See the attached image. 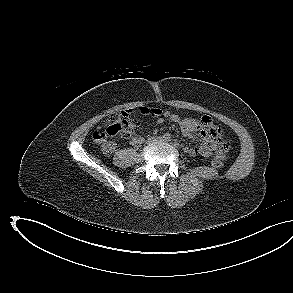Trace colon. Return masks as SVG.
I'll use <instances>...</instances> for the list:
<instances>
[{"instance_id":"1","label":"colon","mask_w":293,"mask_h":293,"mask_svg":"<svg viewBox=\"0 0 293 293\" xmlns=\"http://www.w3.org/2000/svg\"><path fill=\"white\" fill-rule=\"evenodd\" d=\"M137 127L138 122L135 119L127 113L121 112L110 116L105 128L95 131L93 137L96 141H104L116 135L128 137L136 131ZM212 165L216 168H222L224 164L221 159L215 158L212 160Z\"/></svg>"}]
</instances>
